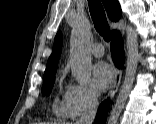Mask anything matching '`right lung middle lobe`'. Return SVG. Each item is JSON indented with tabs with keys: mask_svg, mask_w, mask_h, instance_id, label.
Returning <instances> with one entry per match:
<instances>
[{
	"mask_svg": "<svg viewBox=\"0 0 156 124\" xmlns=\"http://www.w3.org/2000/svg\"><path fill=\"white\" fill-rule=\"evenodd\" d=\"M43 81L42 94L49 95L54 85V75L44 77Z\"/></svg>",
	"mask_w": 156,
	"mask_h": 124,
	"instance_id": "right-lung-middle-lobe-1",
	"label": "right lung middle lobe"
}]
</instances>
